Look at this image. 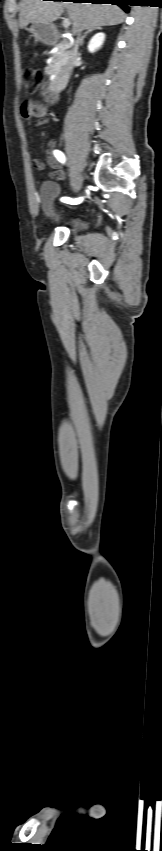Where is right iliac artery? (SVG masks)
Wrapping results in <instances>:
<instances>
[{
	"mask_svg": "<svg viewBox=\"0 0 162 851\" xmlns=\"http://www.w3.org/2000/svg\"><path fill=\"white\" fill-rule=\"evenodd\" d=\"M53 153H54V156L57 158V160H58L59 162H61V163H64V162H65V156H64V154H63L61 151H59V150H55ZM61 200H62L63 202H65V203L73 204V205H74V204H79V203H81V202H82V200H83V198H82V197H80V198H76V199H71V198H69V197H63V198H61Z\"/></svg>",
	"mask_w": 162,
	"mask_h": 851,
	"instance_id": "1",
	"label": "right iliac artery"
}]
</instances>
